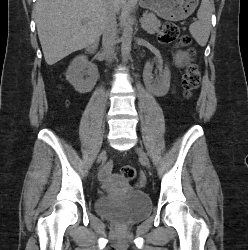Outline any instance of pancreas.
Wrapping results in <instances>:
<instances>
[{"label": "pancreas", "mask_w": 248, "mask_h": 250, "mask_svg": "<svg viewBox=\"0 0 248 250\" xmlns=\"http://www.w3.org/2000/svg\"><path fill=\"white\" fill-rule=\"evenodd\" d=\"M145 21L142 23V28L149 34H154L159 31L161 22L153 13L143 14Z\"/></svg>", "instance_id": "obj_1"}]
</instances>
